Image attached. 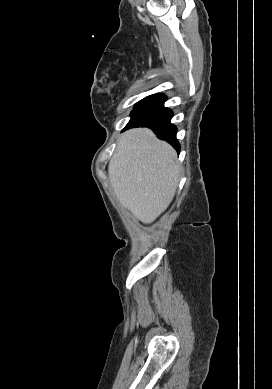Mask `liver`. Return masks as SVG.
<instances>
[{"mask_svg": "<svg viewBox=\"0 0 272 389\" xmlns=\"http://www.w3.org/2000/svg\"><path fill=\"white\" fill-rule=\"evenodd\" d=\"M175 150L147 128L126 131L108 166L119 202L145 224L164 212L175 195L180 165Z\"/></svg>", "mask_w": 272, "mask_h": 389, "instance_id": "6515ba94", "label": "liver"}]
</instances>
